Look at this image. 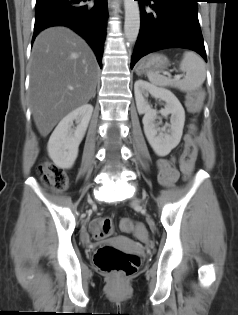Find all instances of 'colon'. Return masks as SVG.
I'll return each mask as SVG.
<instances>
[{
	"mask_svg": "<svg viewBox=\"0 0 238 315\" xmlns=\"http://www.w3.org/2000/svg\"><path fill=\"white\" fill-rule=\"evenodd\" d=\"M202 93L195 92L188 98V107L193 112L200 109ZM194 130V129H193ZM197 155V145L191 135L185 140L183 152L179 158V168L185 176H189L193 171L194 162ZM37 171L44 183L55 190L63 191L68 186V176L59 166L45 162L39 165ZM120 227L125 232L133 233L139 239L147 237V230L141 223H135L129 219H124ZM92 235L97 239L110 236L113 232L111 218L102 217L95 219L91 224ZM94 263L97 268L110 275L114 280L121 281L131 277L140 265V258L131 253L123 252L113 246H101L94 255Z\"/></svg>",
	"mask_w": 238,
	"mask_h": 315,
	"instance_id": "obj_1",
	"label": "colon"
}]
</instances>
